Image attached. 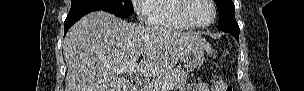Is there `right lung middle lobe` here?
I'll return each instance as SVG.
<instances>
[{
  "label": "right lung middle lobe",
  "instance_id": "obj_1",
  "mask_svg": "<svg viewBox=\"0 0 304 91\" xmlns=\"http://www.w3.org/2000/svg\"><path fill=\"white\" fill-rule=\"evenodd\" d=\"M90 4L106 9L108 12L120 18H128L133 14L134 8L131 0H72L71 7Z\"/></svg>",
  "mask_w": 304,
  "mask_h": 91
}]
</instances>
